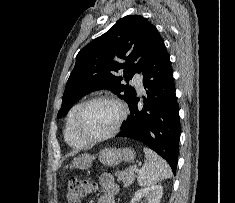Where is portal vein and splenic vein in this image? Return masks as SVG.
Listing matches in <instances>:
<instances>
[{
  "instance_id": "obj_1",
  "label": "portal vein and splenic vein",
  "mask_w": 235,
  "mask_h": 203,
  "mask_svg": "<svg viewBox=\"0 0 235 203\" xmlns=\"http://www.w3.org/2000/svg\"><path fill=\"white\" fill-rule=\"evenodd\" d=\"M133 170L137 172V171H138V168H137L136 166H134V167H133Z\"/></svg>"
}]
</instances>
